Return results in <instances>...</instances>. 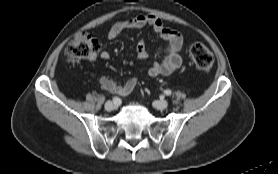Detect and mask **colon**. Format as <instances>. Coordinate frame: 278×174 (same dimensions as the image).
Instances as JSON below:
<instances>
[{
  "instance_id": "1",
  "label": "colon",
  "mask_w": 278,
  "mask_h": 174,
  "mask_svg": "<svg viewBox=\"0 0 278 174\" xmlns=\"http://www.w3.org/2000/svg\"><path fill=\"white\" fill-rule=\"evenodd\" d=\"M98 42L87 32H80L68 43L65 56L70 61L90 58L98 51ZM189 53L195 66L200 70H209L214 63L212 52L202 43H193Z\"/></svg>"
}]
</instances>
